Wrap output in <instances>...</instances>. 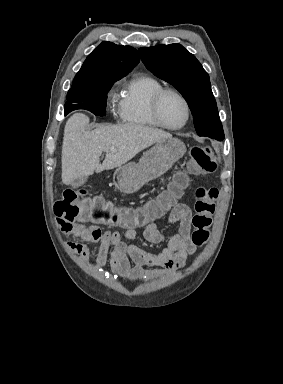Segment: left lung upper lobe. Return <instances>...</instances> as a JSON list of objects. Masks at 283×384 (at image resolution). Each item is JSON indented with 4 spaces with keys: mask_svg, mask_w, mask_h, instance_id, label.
Instances as JSON below:
<instances>
[{
    "mask_svg": "<svg viewBox=\"0 0 283 384\" xmlns=\"http://www.w3.org/2000/svg\"><path fill=\"white\" fill-rule=\"evenodd\" d=\"M138 52L154 75L176 87L187 100L198 135L222 140L224 132L209 75L195 56L180 44L143 47Z\"/></svg>",
    "mask_w": 283,
    "mask_h": 384,
    "instance_id": "left-lung-upper-lobe-1",
    "label": "left lung upper lobe"
}]
</instances>
